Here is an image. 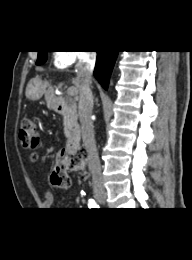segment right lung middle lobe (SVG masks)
Returning <instances> with one entry per match:
<instances>
[{
  "mask_svg": "<svg viewBox=\"0 0 192 260\" xmlns=\"http://www.w3.org/2000/svg\"><path fill=\"white\" fill-rule=\"evenodd\" d=\"M46 59H47V51H39L36 64L41 65L46 61Z\"/></svg>",
  "mask_w": 192,
  "mask_h": 260,
  "instance_id": "obj_1",
  "label": "right lung middle lobe"
}]
</instances>
